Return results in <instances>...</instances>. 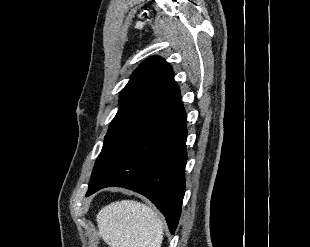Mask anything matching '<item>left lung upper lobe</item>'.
<instances>
[{"label":"left lung upper lobe","mask_w":310,"mask_h":247,"mask_svg":"<svg viewBox=\"0 0 310 247\" xmlns=\"http://www.w3.org/2000/svg\"><path fill=\"white\" fill-rule=\"evenodd\" d=\"M179 102L180 90L171 65L157 56L142 62L120 92V107L110 123L89 187L105 174L140 133Z\"/></svg>","instance_id":"1"}]
</instances>
